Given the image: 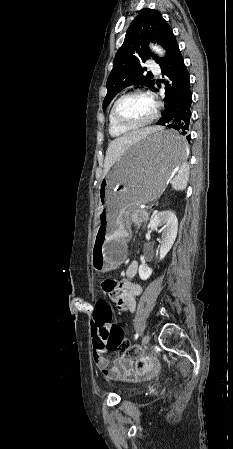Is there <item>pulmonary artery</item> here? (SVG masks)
<instances>
[{
  "label": "pulmonary artery",
  "mask_w": 233,
  "mask_h": 449,
  "mask_svg": "<svg viewBox=\"0 0 233 449\" xmlns=\"http://www.w3.org/2000/svg\"><path fill=\"white\" fill-rule=\"evenodd\" d=\"M150 69H151L153 72H155V73H159V72H160V68H159L158 65L155 64V63H152V64L150 65Z\"/></svg>",
  "instance_id": "1"
}]
</instances>
